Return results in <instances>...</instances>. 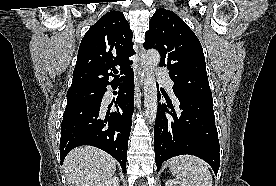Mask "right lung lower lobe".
Returning <instances> with one entry per match:
<instances>
[{
  "instance_id": "1",
  "label": "right lung lower lobe",
  "mask_w": 276,
  "mask_h": 186,
  "mask_svg": "<svg viewBox=\"0 0 276 186\" xmlns=\"http://www.w3.org/2000/svg\"><path fill=\"white\" fill-rule=\"evenodd\" d=\"M111 85L117 87L119 83ZM106 91L104 87L101 93L91 99L67 104L61 124V165L72 149L91 145L113 156L125 172L134 109L133 71L123 79L120 92L114 100L117 111L108 110L106 115H103L100 104Z\"/></svg>"
}]
</instances>
